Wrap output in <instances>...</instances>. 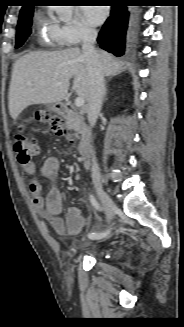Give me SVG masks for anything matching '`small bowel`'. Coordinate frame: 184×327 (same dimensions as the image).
<instances>
[{
    "mask_svg": "<svg viewBox=\"0 0 184 327\" xmlns=\"http://www.w3.org/2000/svg\"><path fill=\"white\" fill-rule=\"evenodd\" d=\"M24 170L29 175H34L36 166L30 162L24 165ZM60 172V162L55 157H49L44 161L41 167V174L47 179H56ZM29 190L32 196L34 206L40 210L42 216L49 221L55 232L59 234L67 233L69 235L79 234L86 224L81 211L77 207H70L66 216L61 213L64 207V198L58 188H53L47 196L43 195L41 182L33 178L29 183Z\"/></svg>",
    "mask_w": 184,
    "mask_h": 327,
    "instance_id": "c3829d8e",
    "label": "small bowel"
}]
</instances>
